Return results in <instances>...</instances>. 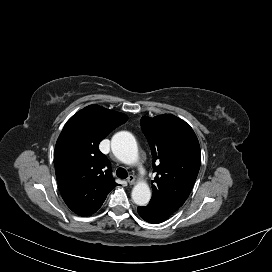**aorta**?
I'll list each match as a JSON object with an SVG mask.
<instances>
[{
    "label": "aorta",
    "instance_id": "762f6f07",
    "mask_svg": "<svg viewBox=\"0 0 272 272\" xmlns=\"http://www.w3.org/2000/svg\"><path fill=\"white\" fill-rule=\"evenodd\" d=\"M113 154L125 164H133L138 160V147L134 136L126 131L116 133L111 139ZM151 199V191L147 183L139 182L132 190V200L139 206H145Z\"/></svg>",
    "mask_w": 272,
    "mask_h": 272
}]
</instances>
